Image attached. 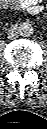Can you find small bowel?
Returning a JSON list of instances; mask_svg holds the SVG:
<instances>
[{"label":"small bowel","mask_w":47,"mask_h":129,"mask_svg":"<svg viewBox=\"0 0 47 129\" xmlns=\"http://www.w3.org/2000/svg\"><path fill=\"white\" fill-rule=\"evenodd\" d=\"M3 7L25 10L30 14H38L43 10L41 0H1Z\"/></svg>","instance_id":"obj_1"}]
</instances>
